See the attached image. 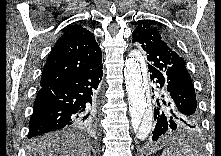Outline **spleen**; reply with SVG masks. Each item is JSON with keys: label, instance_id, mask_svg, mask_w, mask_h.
Wrapping results in <instances>:
<instances>
[{"label": "spleen", "instance_id": "spleen-1", "mask_svg": "<svg viewBox=\"0 0 221 156\" xmlns=\"http://www.w3.org/2000/svg\"><path fill=\"white\" fill-rule=\"evenodd\" d=\"M162 156H200V154L192 146L184 145L181 141H177L165 149L162 152Z\"/></svg>", "mask_w": 221, "mask_h": 156}]
</instances>
